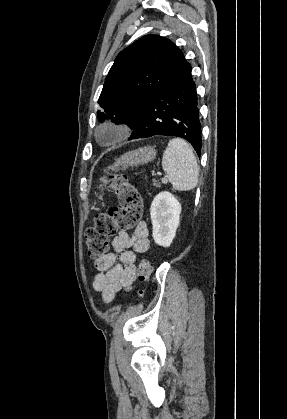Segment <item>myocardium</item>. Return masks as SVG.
<instances>
[{
    "mask_svg": "<svg viewBox=\"0 0 287 419\" xmlns=\"http://www.w3.org/2000/svg\"><path fill=\"white\" fill-rule=\"evenodd\" d=\"M128 135V128L124 125L105 123L100 127L98 137L102 142L114 143Z\"/></svg>",
    "mask_w": 287,
    "mask_h": 419,
    "instance_id": "obj_1",
    "label": "myocardium"
}]
</instances>
